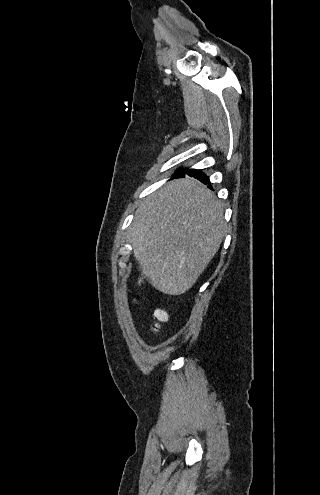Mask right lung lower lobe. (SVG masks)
<instances>
[{"label":"right lung lower lobe","mask_w":320,"mask_h":495,"mask_svg":"<svg viewBox=\"0 0 320 495\" xmlns=\"http://www.w3.org/2000/svg\"><path fill=\"white\" fill-rule=\"evenodd\" d=\"M182 172L188 174L189 176H192L198 180H200L201 182H203L204 184H207L209 183V178L202 172V171H199V170H195V169H190V170H182L180 171L178 174H176L174 177H181L182 176ZM209 188H212L211 185L209 184L208 185Z\"/></svg>","instance_id":"98d812e1"}]
</instances>
